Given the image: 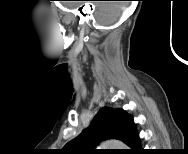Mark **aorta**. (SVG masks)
<instances>
[{
    "label": "aorta",
    "mask_w": 188,
    "mask_h": 154,
    "mask_svg": "<svg viewBox=\"0 0 188 154\" xmlns=\"http://www.w3.org/2000/svg\"><path fill=\"white\" fill-rule=\"evenodd\" d=\"M101 147L104 149H126L125 144L119 140H107L101 143Z\"/></svg>",
    "instance_id": "aorta-1"
}]
</instances>
